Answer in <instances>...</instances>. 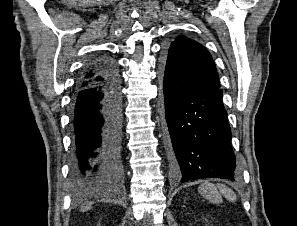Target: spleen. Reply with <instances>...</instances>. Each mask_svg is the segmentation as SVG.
<instances>
[{
    "label": "spleen",
    "mask_w": 297,
    "mask_h": 226,
    "mask_svg": "<svg viewBox=\"0 0 297 226\" xmlns=\"http://www.w3.org/2000/svg\"><path fill=\"white\" fill-rule=\"evenodd\" d=\"M198 192L212 203H221L222 196L230 202H235L237 200L234 191L223 184L214 185L205 182L198 187Z\"/></svg>",
    "instance_id": "obj_1"
}]
</instances>
